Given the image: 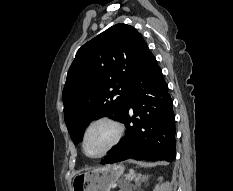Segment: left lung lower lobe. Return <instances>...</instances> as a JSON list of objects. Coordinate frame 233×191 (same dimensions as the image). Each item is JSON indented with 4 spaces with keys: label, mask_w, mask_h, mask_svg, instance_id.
<instances>
[{
    "label": "left lung lower lobe",
    "mask_w": 233,
    "mask_h": 191,
    "mask_svg": "<svg viewBox=\"0 0 233 191\" xmlns=\"http://www.w3.org/2000/svg\"><path fill=\"white\" fill-rule=\"evenodd\" d=\"M133 109L134 115L129 116ZM126 137L102 164L126 159L166 160L176 158L175 117L172 99L162 71L152 53L136 73L121 119Z\"/></svg>",
    "instance_id": "0a47b994"
}]
</instances>
